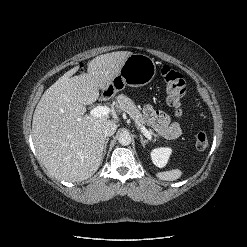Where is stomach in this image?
Segmentation results:
<instances>
[{
    "mask_svg": "<svg viewBox=\"0 0 247 247\" xmlns=\"http://www.w3.org/2000/svg\"><path fill=\"white\" fill-rule=\"evenodd\" d=\"M156 75L153 58L144 54H132L124 62L120 72L109 84L112 93L121 91L125 86L141 87L150 83Z\"/></svg>",
    "mask_w": 247,
    "mask_h": 247,
    "instance_id": "obj_1",
    "label": "stomach"
}]
</instances>
